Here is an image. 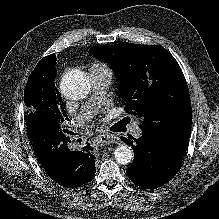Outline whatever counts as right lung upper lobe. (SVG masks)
<instances>
[{"mask_svg":"<svg viewBox=\"0 0 219 219\" xmlns=\"http://www.w3.org/2000/svg\"><path fill=\"white\" fill-rule=\"evenodd\" d=\"M46 57H54L55 59H56V56H55V54H51V55H49V56H46ZM46 57H44V58H46ZM43 58V59H44ZM59 95L61 96V94L59 93Z\"/></svg>","mask_w":219,"mask_h":219,"instance_id":"right-lung-upper-lobe-1","label":"right lung upper lobe"}]
</instances>
